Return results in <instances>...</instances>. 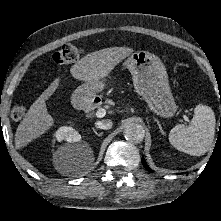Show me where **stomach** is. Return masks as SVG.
Listing matches in <instances>:
<instances>
[{
	"mask_svg": "<svg viewBox=\"0 0 221 221\" xmlns=\"http://www.w3.org/2000/svg\"><path fill=\"white\" fill-rule=\"evenodd\" d=\"M125 66L132 75L136 92L143 97L149 109L160 117H173L177 112V106L166 68L160 58L148 51H137L128 56ZM105 85V78L86 82L75 90L73 96L81 97L85 101L92 100Z\"/></svg>",
	"mask_w": 221,
	"mask_h": 221,
	"instance_id": "obj_1",
	"label": "stomach"
}]
</instances>
